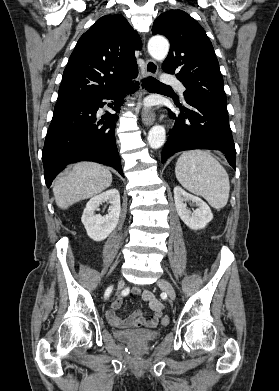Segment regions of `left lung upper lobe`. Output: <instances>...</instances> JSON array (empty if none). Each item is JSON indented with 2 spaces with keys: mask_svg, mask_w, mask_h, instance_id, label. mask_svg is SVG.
Wrapping results in <instances>:
<instances>
[{
  "mask_svg": "<svg viewBox=\"0 0 279 391\" xmlns=\"http://www.w3.org/2000/svg\"><path fill=\"white\" fill-rule=\"evenodd\" d=\"M152 33L169 39L171 46L162 68L184 84L185 98H198L227 110L219 63L201 25L182 10H170L154 21Z\"/></svg>",
  "mask_w": 279,
  "mask_h": 391,
  "instance_id": "5c2ea615",
  "label": "left lung upper lobe"
}]
</instances>
